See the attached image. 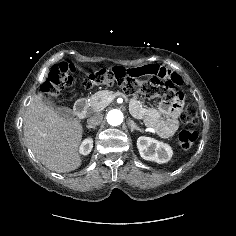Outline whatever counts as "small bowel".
Returning <instances> with one entry per match:
<instances>
[{"label": "small bowel", "instance_id": "obj_1", "mask_svg": "<svg viewBox=\"0 0 236 236\" xmlns=\"http://www.w3.org/2000/svg\"><path fill=\"white\" fill-rule=\"evenodd\" d=\"M153 75L171 79L177 85L181 83V79L174 77L170 71L154 65H146L141 68L137 66L131 68L122 67L117 69L114 73L115 78L119 81L137 79L140 82H146L150 80ZM181 106L182 100L175 104L162 103L161 112H158L145 108L140 102H135L133 111L137 117L154 128L160 136L168 138L172 137L178 128L177 115ZM161 113L165 116L163 117Z\"/></svg>", "mask_w": 236, "mask_h": 236}]
</instances>
